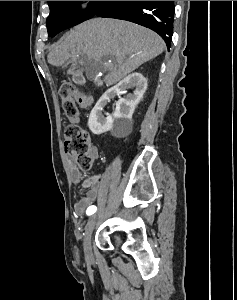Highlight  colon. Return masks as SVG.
Returning a JSON list of instances; mask_svg holds the SVG:
<instances>
[{
	"label": "colon",
	"instance_id": "colon-1",
	"mask_svg": "<svg viewBox=\"0 0 237 300\" xmlns=\"http://www.w3.org/2000/svg\"><path fill=\"white\" fill-rule=\"evenodd\" d=\"M62 108L69 119L78 116L76 105L75 89L70 84H64L60 88ZM65 152L72 156L78 167L83 171H89L92 167L93 159L89 154L91 141L89 134L80 128L77 124L72 123L65 129Z\"/></svg>",
	"mask_w": 237,
	"mask_h": 300
}]
</instances>
